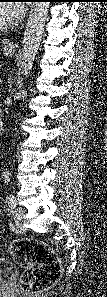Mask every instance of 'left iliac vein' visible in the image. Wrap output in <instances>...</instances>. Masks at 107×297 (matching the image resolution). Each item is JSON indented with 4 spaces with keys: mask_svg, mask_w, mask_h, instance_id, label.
I'll return each instance as SVG.
<instances>
[{
    "mask_svg": "<svg viewBox=\"0 0 107 297\" xmlns=\"http://www.w3.org/2000/svg\"><path fill=\"white\" fill-rule=\"evenodd\" d=\"M25 216V211L22 208H17L13 211V219L16 223L23 220Z\"/></svg>",
    "mask_w": 107,
    "mask_h": 297,
    "instance_id": "4c4485c4",
    "label": "left iliac vein"
}]
</instances>
